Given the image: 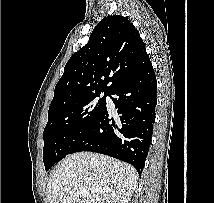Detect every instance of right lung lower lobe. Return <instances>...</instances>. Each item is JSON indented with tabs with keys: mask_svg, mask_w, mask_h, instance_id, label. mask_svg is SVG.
Listing matches in <instances>:
<instances>
[{
	"mask_svg": "<svg viewBox=\"0 0 214 203\" xmlns=\"http://www.w3.org/2000/svg\"><path fill=\"white\" fill-rule=\"evenodd\" d=\"M156 92L152 64L117 84L107 95L117 108L118 116L114 119L105 105L92 128L70 154L102 153L130 163L141 175L152 139Z\"/></svg>",
	"mask_w": 214,
	"mask_h": 203,
	"instance_id": "right-lung-lower-lobe-1",
	"label": "right lung lower lobe"
}]
</instances>
